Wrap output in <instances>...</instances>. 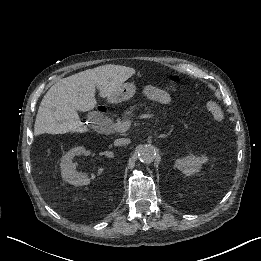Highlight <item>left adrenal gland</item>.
<instances>
[{
  "mask_svg": "<svg viewBox=\"0 0 261 261\" xmlns=\"http://www.w3.org/2000/svg\"><path fill=\"white\" fill-rule=\"evenodd\" d=\"M168 135H170L169 133L168 134H160L158 137L159 138H166Z\"/></svg>",
  "mask_w": 261,
  "mask_h": 261,
  "instance_id": "left-adrenal-gland-1",
  "label": "left adrenal gland"
}]
</instances>
